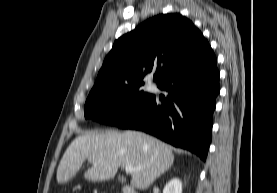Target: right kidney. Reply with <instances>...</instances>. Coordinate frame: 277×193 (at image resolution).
I'll return each mask as SVG.
<instances>
[{"label":"right kidney","instance_id":"ca27d5eb","mask_svg":"<svg viewBox=\"0 0 277 193\" xmlns=\"http://www.w3.org/2000/svg\"><path fill=\"white\" fill-rule=\"evenodd\" d=\"M163 193H182V182L178 178H173L166 184Z\"/></svg>","mask_w":277,"mask_h":193}]
</instances>
